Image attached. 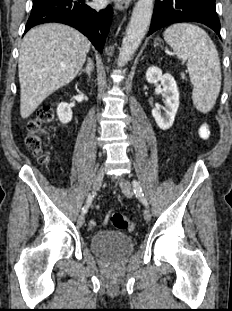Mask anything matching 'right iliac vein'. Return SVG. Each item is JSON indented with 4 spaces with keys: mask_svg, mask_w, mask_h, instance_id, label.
<instances>
[{
    "mask_svg": "<svg viewBox=\"0 0 232 311\" xmlns=\"http://www.w3.org/2000/svg\"><path fill=\"white\" fill-rule=\"evenodd\" d=\"M104 175H105V172H104L103 169H100V170L96 173V175H95V177H94V181H93V189H94V190H98V189L100 188V186L102 185L103 180H104ZM84 221H85V217H84V215L82 214V215H80L79 218H78V224H79V225H83Z\"/></svg>",
    "mask_w": 232,
    "mask_h": 311,
    "instance_id": "right-iliac-vein-1",
    "label": "right iliac vein"
}]
</instances>
